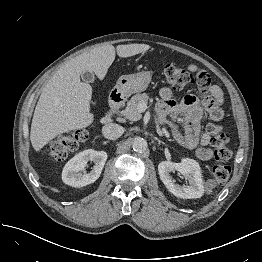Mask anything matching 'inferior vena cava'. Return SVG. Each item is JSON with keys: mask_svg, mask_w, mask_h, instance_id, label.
<instances>
[{"mask_svg": "<svg viewBox=\"0 0 262 262\" xmlns=\"http://www.w3.org/2000/svg\"><path fill=\"white\" fill-rule=\"evenodd\" d=\"M123 132H124L123 127L116 123L106 124L102 128L103 136L110 140L119 138L123 134Z\"/></svg>", "mask_w": 262, "mask_h": 262, "instance_id": "602c4592", "label": "inferior vena cava"}]
</instances>
